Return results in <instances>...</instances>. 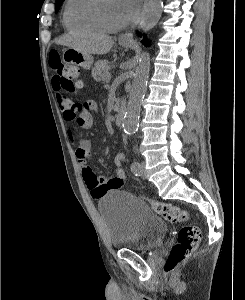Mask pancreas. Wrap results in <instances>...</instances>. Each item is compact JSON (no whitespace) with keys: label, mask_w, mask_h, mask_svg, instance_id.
I'll return each instance as SVG.
<instances>
[{"label":"pancreas","mask_w":245,"mask_h":300,"mask_svg":"<svg viewBox=\"0 0 245 300\" xmlns=\"http://www.w3.org/2000/svg\"><path fill=\"white\" fill-rule=\"evenodd\" d=\"M109 63L106 60H100L95 64V67L92 68V77L96 81H109L108 74H109Z\"/></svg>","instance_id":"pancreas-1"}]
</instances>
